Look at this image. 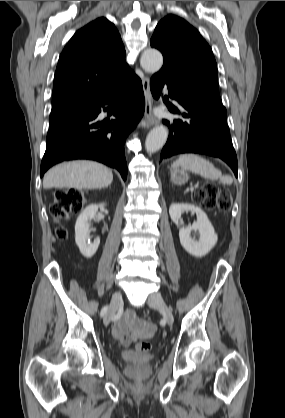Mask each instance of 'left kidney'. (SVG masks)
Here are the masks:
<instances>
[{
  "mask_svg": "<svg viewBox=\"0 0 285 418\" xmlns=\"http://www.w3.org/2000/svg\"><path fill=\"white\" fill-rule=\"evenodd\" d=\"M188 211L196 214L197 221L187 227L179 228L180 243L189 254L196 257L205 256L216 245L218 240V236L206 213L200 207L187 203H173L169 207L171 220L176 225L180 224L182 213ZM192 231L199 232V240L192 239Z\"/></svg>",
  "mask_w": 285,
  "mask_h": 418,
  "instance_id": "1",
  "label": "left kidney"
}]
</instances>
